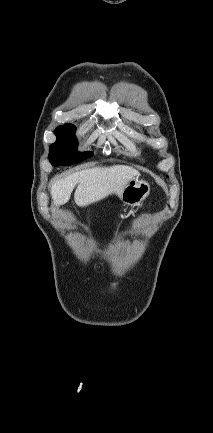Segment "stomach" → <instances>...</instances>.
<instances>
[{
  "instance_id": "obj_1",
  "label": "stomach",
  "mask_w": 213,
  "mask_h": 433,
  "mask_svg": "<svg viewBox=\"0 0 213 433\" xmlns=\"http://www.w3.org/2000/svg\"><path fill=\"white\" fill-rule=\"evenodd\" d=\"M150 185L144 180L131 179L120 193V200L128 206L140 205L149 195Z\"/></svg>"
}]
</instances>
